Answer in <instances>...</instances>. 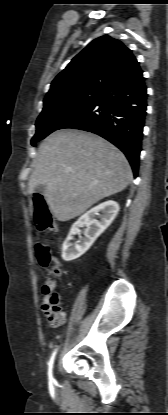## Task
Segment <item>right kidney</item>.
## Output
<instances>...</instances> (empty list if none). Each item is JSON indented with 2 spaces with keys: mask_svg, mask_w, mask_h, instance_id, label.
<instances>
[{
  "mask_svg": "<svg viewBox=\"0 0 168 415\" xmlns=\"http://www.w3.org/2000/svg\"><path fill=\"white\" fill-rule=\"evenodd\" d=\"M119 211V205L115 201L103 202L82 215L75 222L62 246V258L64 261H72L82 256L95 242V240L110 226ZM95 216H100L96 220ZM86 226L84 238L79 243L71 245L73 235L80 234L79 229Z\"/></svg>",
  "mask_w": 168,
  "mask_h": 415,
  "instance_id": "right-kidney-1",
  "label": "right kidney"
}]
</instances>
